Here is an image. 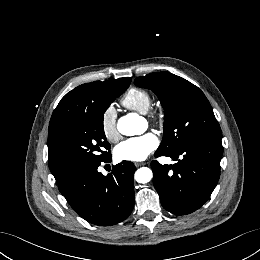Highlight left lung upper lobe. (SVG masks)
I'll use <instances>...</instances> for the list:
<instances>
[{
	"mask_svg": "<svg viewBox=\"0 0 260 260\" xmlns=\"http://www.w3.org/2000/svg\"><path fill=\"white\" fill-rule=\"evenodd\" d=\"M134 83L151 89L164 108L163 140L157 150L174 151L192 142L222 139L212 107L197 86L169 72L138 77Z\"/></svg>",
	"mask_w": 260,
	"mask_h": 260,
	"instance_id": "left-lung-upper-lobe-1",
	"label": "left lung upper lobe"
}]
</instances>
